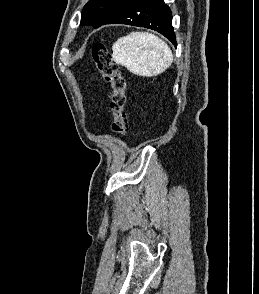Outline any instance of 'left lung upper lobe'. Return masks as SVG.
Wrapping results in <instances>:
<instances>
[{
	"label": "left lung upper lobe",
	"instance_id": "obj_1",
	"mask_svg": "<svg viewBox=\"0 0 259 294\" xmlns=\"http://www.w3.org/2000/svg\"><path fill=\"white\" fill-rule=\"evenodd\" d=\"M125 0H89L81 15V25L100 27L112 10Z\"/></svg>",
	"mask_w": 259,
	"mask_h": 294
}]
</instances>
